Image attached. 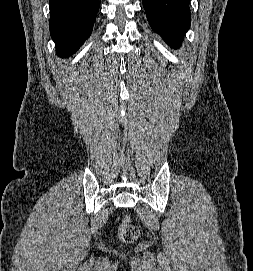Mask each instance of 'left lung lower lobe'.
Returning <instances> with one entry per match:
<instances>
[{
    "mask_svg": "<svg viewBox=\"0 0 253 271\" xmlns=\"http://www.w3.org/2000/svg\"><path fill=\"white\" fill-rule=\"evenodd\" d=\"M147 19L154 31L170 46L177 47L189 28L190 0H142Z\"/></svg>",
    "mask_w": 253,
    "mask_h": 271,
    "instance_id": "left-lung-lower-lobe-1",
    "label": "left lung lower lobe"
}]
</instances>
